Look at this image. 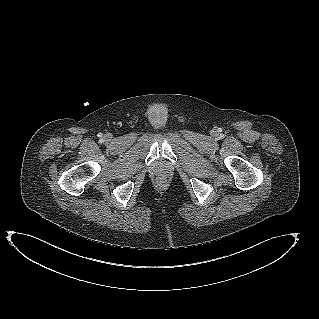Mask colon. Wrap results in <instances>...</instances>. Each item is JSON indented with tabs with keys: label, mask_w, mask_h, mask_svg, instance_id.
I'll use <instances>...</instances> for the list:
<instances>
[{
	"label": "colon",
	"mask_w": 319,
	"mask_h": 319,
	"mask_svg": "<svg viewBox=\"0 0 319 319\" xmlns=\"http://www.w3.org/2000/svg\"><path fill=\"white\" fill-rule=\"evenodd\" d=\"M157 181L159 184H164L166 182V178L163 176H160L157 178Z\"/></svg>",
	"instance_id": "5ec220e1"
}]
</instances>
